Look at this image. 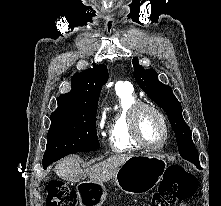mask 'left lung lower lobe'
Masks as SVG:
<instances>
[{
  "mask_svg": "<svg viewBox=\"0 0 221 206\" xmlns=\"http://www.w3.org/2000/svg\"><path fill=\"white\" fill-rule=\"evenodd\" d=\"M198 168H200V164L199 165H196Z\"/></svg>",
  "mask_w": 221,
  "mask_h": 206,
  "instance_id": "left-lung-lower-lobe-1",
  "label": "left lung lower lobe"
}]
</instances>
